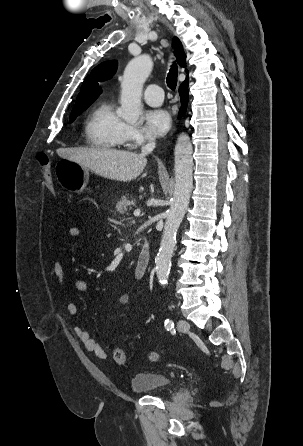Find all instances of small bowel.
<instances>
[{
  "label": "small bowel",
  "instance_id": "1",
  "mask_svg": "<svg viewBox=\"0 0 303 446\" xmlns=\"http://www.w3.org/2000/svg\"><path fill=\"white\" fill-rule=\"evenodd\" d=\"M67 235L71 239H77L81 237L82 231L79 227L73 226L68 228ZM53 273L57 278L61 290L65 292V270L62 262L59 259L55 260L53 263ZM73 286L77 291L82 293H88L90 291L89 284L83 279H75L73 281ZM66 300L68 313L72 316L77 315L78 308L76 304L73 301L69 300L68 297H66ZM128 300L129 295L123 294L119 297V304H126ZM74 333L77 338L84 344L87 351L94 353L100 358H106V352L104 351L100 343L92 338L90 336V333L86 329L81 326H75Z\"/></svg>",
  "mask_w": 303,
  "mask_h": 446
}]
</instances>
